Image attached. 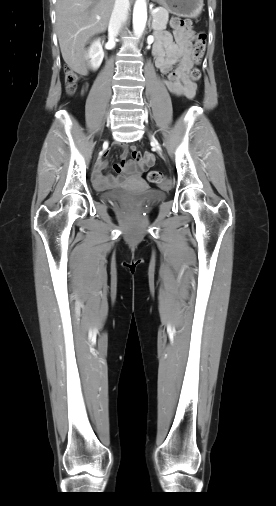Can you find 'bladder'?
Instances as JSON below:
<instances>
[{
    "label": "bladder",
    "mask_w": 276,
    "mask_h": 506,
    "mask_svg": "<svg viewBox=\"0 0 276 506\" xmlns=\"http://www.w3.org/2000/svg\"><path fill=\"white\" fill-rule=\"evenodd\" d=\"M130 193L126 191H111L102 194V199L107 202H120ZM134 197L140 201H161L165 198V193L158 189H147L146 191L135 194Z\"/></svg>",
    "instance_id": "bladder-1"
}]
</instances>
